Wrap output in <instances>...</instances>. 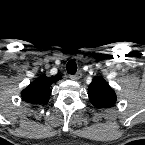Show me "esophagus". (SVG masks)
I'll list each match as a JSON object with an SVG mask.
<instances>
[{
    "label": "esophagus",
    "instance_id": "1",
    "mask_svg": "<svg viewBox=\"0 0 145 145\" xmlns=\"http://www.w3.org/2000/svg\"><path fill=\"white\" fill-rule=\"evenodd\" d=\"M81 76H82L81 71H78L76 74L70 75V78H71L72 80L77 81V80H79V79L81 78Z\"/></svg>",
    "mask_w": 145,
    "mask_h": 145
}]
</instances>
